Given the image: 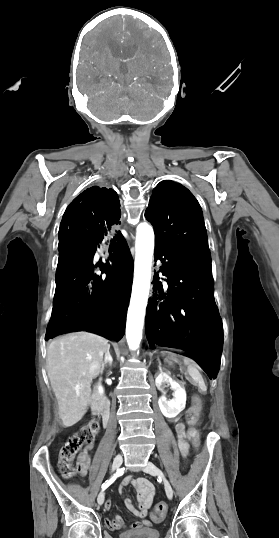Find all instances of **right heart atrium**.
I'll list each match as a JSON object with an SVG mask.
<instances>
[{
	"instance_id": "obj_1",
	"label": "right heart atrium",
	"mask_w": 279,
	"mask_h": 538,
	"mask_svg": "<svg viewBox=\"0 0 279 538\" xmlns=\"http://www.w3.org/2000/svg\"><path fill=\"white\" fill-rule=\"evenodd\" d=\"M142 242H143V243H146V242H147V239L144 237V238L142 239Z\"/></svg>"
}]
</instances>
